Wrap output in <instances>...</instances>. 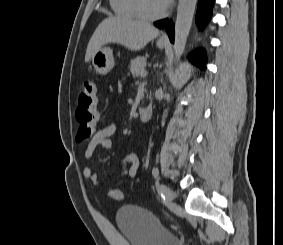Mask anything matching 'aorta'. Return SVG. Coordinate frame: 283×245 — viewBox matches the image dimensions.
Wrapping results in <instances>:
<instances>
[{
  "instance_id": "1",
  "label": "aorta",
  "mask_w": 283,
  "mask_h": 245,
  "mask_svg": "<svg viewBox=\"0 0 283 245\" xmlns=\"http://www.w3.org/2000/svg\"><path fill=\"white\" fill-rule=\"evenodd\" d=\"M197 0H179L175 22L174 56L179 61L192 26Z\"/></svg>"
}]
</instances>
